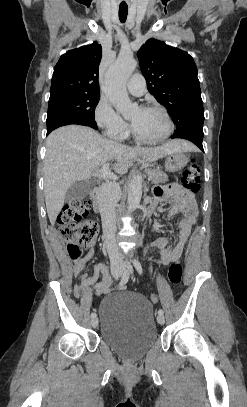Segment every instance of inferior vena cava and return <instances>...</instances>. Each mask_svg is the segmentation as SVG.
Returning <instances> with one entry per match:
<instances>
[{"mask_svg":"<svg viewBox=\"0 0 247 407\" xmlns=\"http://www.w3.org/2000/svg\"><path fill=\"white\" fill-rule=\"evenodd\" d=\"M119 185L116 182H106L101 186L99 203L102 219L103 236L107 252L112 264L122 263V258L115 239L116 213Z\"/></svg>","mask_w":247,"mask_h":407,"instance_id":"inferior-vena-cava-1","label":"inferior vena cava"}]
</instances>
